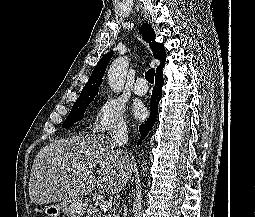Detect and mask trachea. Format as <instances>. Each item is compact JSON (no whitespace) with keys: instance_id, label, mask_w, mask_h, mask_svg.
<instances>
[{"instance_id":"1","label":"trachea","mask_w":255,"mask_h":217,"mask_svg":"<svg viewBox=\"0 0 255 217\" xmlns=\"http://www.w3.org/2000/svg\"><path fill=\"white\" fill-rule=\"evenodd\" d=\"M155 70L153 68L147 70L145 78L149 83H154Z\"/></svg>"}]
</instances>
